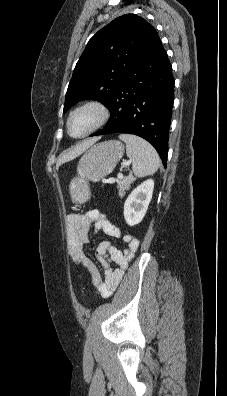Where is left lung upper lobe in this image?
<instances>
[{
	"label": "left lung upper lobe",
	"mask_w": 227,
	"mask_h": 396,
	"mask_svg": "<svg viewBox=\"0 0 227 396\" xmlns=\"http://www.w3.org/2000/svg\"><path fill=\"white\" fill-rule=\"evenodd\" d=\"M159 41L155 28L135 14L120 16L99 30L76 64L63 112L87 99L107 106L130 70Z\"/></svg>",
	"instance_id": "left-lung-upper-lobe-1"
}]
</instances>
